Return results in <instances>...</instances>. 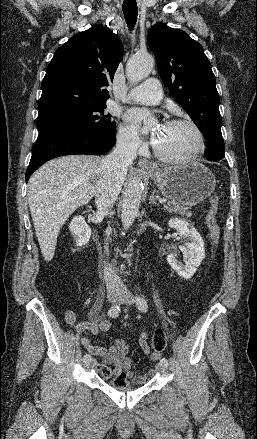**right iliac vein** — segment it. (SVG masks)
<instances>
[{"instance_id": "obj_1", "label": "right iliac vein", "mask_w": 257, "mask_h": 439, "mask_svg": "<svg viewBox=\"0 0 257 439\" xmlns=\"http://www.w3.org/2000/svg\"><path fill=\"white\" fill-rule=\"evenodd\" d=\"M120 297V293L118 292H114V291H110L107 293V300L109 302H115L118 298ZM94 365L93 359L85 362V367L90 368Z\"/></svg>"}]
</instances>
